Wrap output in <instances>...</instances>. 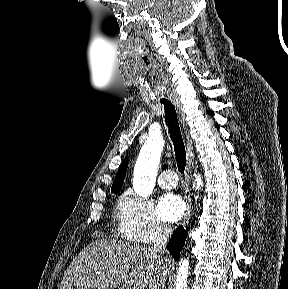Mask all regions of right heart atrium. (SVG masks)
<instances>
[{
	"instance_id": "d8ad5b80",
	"label": "right heart atrium",
	"mask_w": 288,
	"mask_h": 289,
	"mask_svg": "<svg viewBox=\"0 0 288 289\" xmlns=\"http://www.w3.org/2000/svg\"><path fill=\"white\" fill-rule=\"evenodd\" d=\"M119 229L123 238L137 243L151 244L164 239L169 226L158 216L153 202L126 191L118 203Z\"/></svg>"
}]
</instances>
